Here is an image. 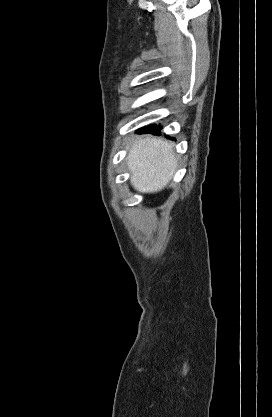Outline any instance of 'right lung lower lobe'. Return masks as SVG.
I'll list each match as a JSON object with an SVG mask.
<instances>
[{"label":"right lung lower lobe","mask_w":272,"mask_h":417,"mask_svg":"<svg viewBox=\"0 0 272 417\" xmlns=\"http://www.w3.org/2000/svg\"><path fill=\"white\" fill-rule=\"evenodd\" d=\"M161 126L160 125H150V126H146L143 127L142 129H140L138 131V133H152V134H160V130H161Z\"/></svg>","instance_id":"98d812e1"}]
</instances>
